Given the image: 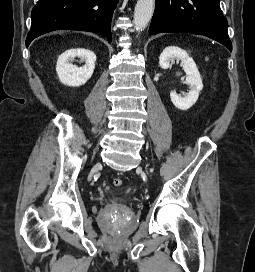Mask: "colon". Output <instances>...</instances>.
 I'll use <instances>...</instances> for the list:
<instances>
[{"mask_svg":"<svg viewBox=\"0 0 255 272\" xmlns=\"http://www.w3.org/2000/svg\"><path fill=\"white\" fill-rule=\"evenodd\" d=\"M113 185L115 187H120L123 183L122 179L121 178H114L113 181H112Z\"/></svg>","mask_w":255,"mask_h":272,"instance_id":"5ec220e1","label":"colon"}]
</instances>
